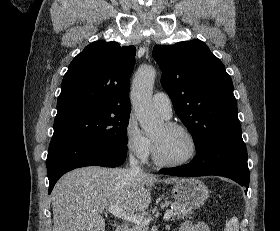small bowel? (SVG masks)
I'll return each instance as SVG.
<instances>
[{
  "mask_svg": "<svg viewBox=\"0 0 280 231\" xmlns=\"http://www.w3.org/2000/svg\"><path fill=\"white\" fill-rule=\"evenodd\" d=\"M179 231H209V228L203 222L193 223L191 221H185Z\"/></svg>",
  "mask_w": 280,
  "mask_h": 231,
  "instance_id": "small-bowel-1",
  "label": "small bowel"
}]
</instances>
